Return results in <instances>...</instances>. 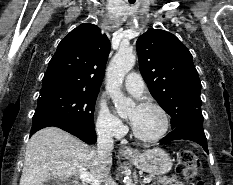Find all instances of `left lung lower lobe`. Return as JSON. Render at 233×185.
I'll return each instance as SVG.
<instances>
[{
	"instance_id": "1",
	"label": "left lung lower lobe",
	"mask_w": 233,
	"mask_h": 185,
	"mask_svg": "<svg viewBox=\"0 0 233 185\" xmlns=\"http://www.w3.org/2000/svg\"><path fill=\"white\" fill-rule=\"evenodd\" d=\"M178 139L194 141L200 144L208 153L207 139L203 129V118L192 119L182 126L175 128L167 136H165L160 143L163 144Z\"/></svg>"
}]
</instances>
